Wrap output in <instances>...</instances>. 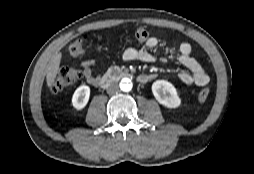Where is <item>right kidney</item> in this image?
<instances>
[{"mask_svg": "<svg viewBox=\"0 0 254 174\" xmlns=\"http://www.w3.org/2000/svg\"><path fill=\"white\" fill-rule=\"evenodd\" d=\"M89 96H90L89 86L82 85L78 87L75 90L72 97V104L74 108H76L77 110L84 108L89 101Z\"/></svg>", "mask_w": 254, "mask_h": 174, "instance_id": "1", "label": "right kidney"}]
</instances>
